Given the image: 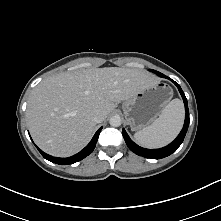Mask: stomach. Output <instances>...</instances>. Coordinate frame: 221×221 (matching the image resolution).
Wrapping results in <instances>:
<instances>
[{"label": "stomach", "mask_w": 221, "mask_h": 221, "mask_svg": "<svg viewBox=\"0 0 221 221\" xmlns=\"http://www.w3.org/2000/svg\"><path fill=\"white\" fill-rule=\"evenodd\" d=\"M172 88L157 82L140 89L131 98L123 102V112L127 123L133 131L141 130L150 125L170 102Z\"/></svg>", "instance_id": "0dacf381"}]
</instances>
